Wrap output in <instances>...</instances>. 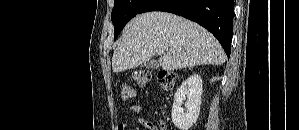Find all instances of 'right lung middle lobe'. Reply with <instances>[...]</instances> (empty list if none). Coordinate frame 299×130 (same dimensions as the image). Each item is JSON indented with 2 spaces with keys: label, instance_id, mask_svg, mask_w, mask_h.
<instances>
[{
  "label": "right lung middle lobe",
  "instance_id": "1",
  "mask_svg": "<svg viewBox=\"0 0 299 130\" xmlns=\"http://www.w3.org/2000/svg\"><path fill=\"white\" fill-rule=\"evenodd\" d=\"M149 0H115V5L112 11V23L114 25V40L123 27L135 15L139 14L140 10Z\"/></svg>",
  "mask_w": 299,
  "mask_h": 130
}]
</instances>
